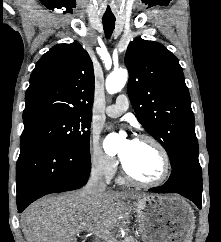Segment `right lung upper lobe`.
Masks as SVG:
<instances>
[{
    "label": "right lung upper lobe",
    "instance_id": "cb5924a9",
    "mask_svg": "<svg viewBox=\"0 0 221 242\" xmlns=\"http://www.w3.org/2000/svg\"><path fill=\"white\" fill-rule=\"evenodd\" d=\"M94 70L78 43L57 44L37 62L25 95L24 125L75 115L90 116Z\"/></svg>",
    "mask_w": 221,
    "mask_h": 242
}]
</instances>
